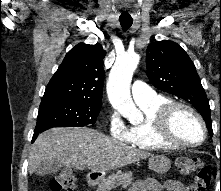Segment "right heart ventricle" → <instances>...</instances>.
<instances>
[{
    "label": "right heart ventricle",
    "mask_w": 221,
    "mask_h": 191,
    "mask_svg": "<svg viewBox=\"0 0 221 191\" xmlns=\"http://www.w3.org/2000/svg\"><path fill=\"white\" fill-rule=\"evenodd\" d=\"M170 102L163 96H157L147 103H139V107L144 112L145 119L138 124H133L128 128L126 142L136 148L143 150H154L165 148L160 140L155 136V116L158 108Z\"/></svg>",
    "instance_id": "1"
}]
</instances>
